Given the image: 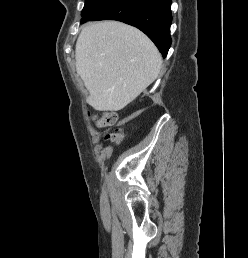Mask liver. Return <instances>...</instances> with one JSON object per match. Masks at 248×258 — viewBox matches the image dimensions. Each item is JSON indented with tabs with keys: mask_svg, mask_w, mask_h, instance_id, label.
I'll return each mask as SVG.
<instances>
[{
	"mask_svg": "<svg viewBox=\"0 0 248 258\" xmlns=\"http://www.w3.org/2000/svg\"><path fill=\"white\" fill-rule=\"evenodd\" d=\"M76 71L98 111H118L159 75L162 58L138 29L117 21L86 25L75 49Z\"/></svg>",
	"mask_w": 248,
	"mask_h": 258,
	"instance_id": "6515ba94",
	"label": "liver"
}]
</instances>
